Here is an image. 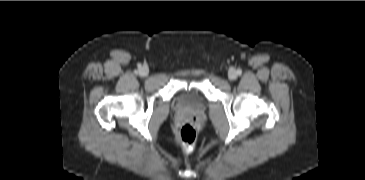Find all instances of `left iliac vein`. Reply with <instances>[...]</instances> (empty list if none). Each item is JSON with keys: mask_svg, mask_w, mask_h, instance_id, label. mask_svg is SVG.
I'll list each match as a JSON object with an SVG mask.
<instances>
[{"mask_svg": "<svg viewBox=\"0 0 365 180\" xmlns=\"http://www.w3.org/2000/svg\"><path fill=\"white\" fill-rule=\"evenodd\" d=\"M228 78L230 80H235L237 78V72L234 69H231L228 73Z\"/></svg>", "mask_w": 365, "mask_h": 180, "instance_id": "obj_1", "label": "left iliac vein"}]
</instances>
